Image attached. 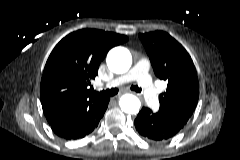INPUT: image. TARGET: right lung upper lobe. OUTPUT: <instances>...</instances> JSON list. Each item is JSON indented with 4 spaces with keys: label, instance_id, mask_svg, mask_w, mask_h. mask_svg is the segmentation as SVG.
I'll list each match as a JSON object with an SVG mask.
<instances>
[{
    "label": "right lung upper lobe",
    "instance_id": "obj_1",
    "mask_svg": "<svg viewBox=\"0 0 240 160\" xmlns=\"http://www.w3.org/2000/svg\"><path fill=\"white\" fill-rule=\"evenodd\" d=\"M127 40L125 35L83 29L70 33L55 46L46 62L40 87L42 108L49 124L95 99L104 98L89 85L109 49Z\"/></svg>",
    "mask_w": 240,
    "mask_h": 160
}]
</instances>
